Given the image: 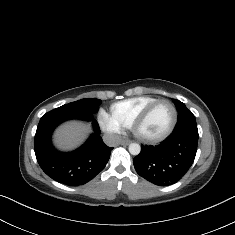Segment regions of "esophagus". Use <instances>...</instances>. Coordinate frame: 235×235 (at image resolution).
<instances>
[{
  "label": "esophagus",
  "mask_w": 235,
  "mask_h": 235,
  "mask_svg": "<svg viewBox=\"0 0 235 235\" xmlns=\"http://www.w3.org/2000/svg\"><path fill=\"white\" fill-rule=\"evenodd\" d=\"M132 141L131 140H126V139H123L120 144L121 145H129Z\"/></svg>",
  "instance_id": "34e87169"
}]
</instances>
